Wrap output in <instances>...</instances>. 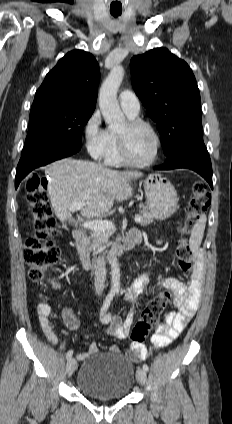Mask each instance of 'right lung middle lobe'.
I'll return each instance as SVG.
<instances>
[{
	"label": "right lung middle lobe",
	"mask_w": 232,
	"mask_h": 424,
	"mask_svg": "<svg viewBox=\"0 0 232 424\" xmlns=\"http://www.w3.org/2000/svg\"><path fill=\"white\" fill-rule=\"evenodd\" d=\"M93 111L70 105H47L32 108L28 134L22 152L41 143L81 145L83 128Z\"/></svg>",
	"instance_id": "obj_1"
}]
</instances>
